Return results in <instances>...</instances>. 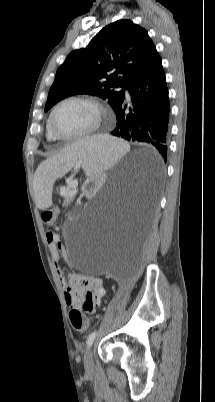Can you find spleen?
Wrapping results in <instances>:
<instances>
[{
  "label": "spleen",
  "mask_w": 215,
  "mask_h": 402,
  "mask_svg": "<svg viewBox=\"0 0 215 402\" xmlns=\"http://www.w3.org/2000/svg\"><path fill=\"white\" fill-rule=\"evenodd\" d=\"M130 146L109 136H92L68 146L57 156L43 162L37 170L34 195L37 210L52 208L50 193L54 181L64 176L74 166L82 165L88 175H93L97 169L107 170L129 151Z\"/></svg>",
  "instance_id": "1"
}]
</instances>
